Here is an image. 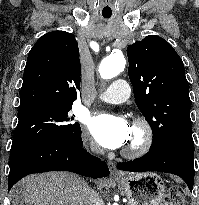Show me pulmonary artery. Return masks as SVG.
Instances as JSON below:
<instances>
[{"label":"pulmonary artery","instance_id":"1","mask_svg":"<svg viewBox=\"0 0 199 205\" xmlns=\"http://www.w3.org/2000/svg\"><path fill=\"white\" fill-rule=\"evenodd\" d=\"M131 86L124 79L115 80L102 98L107 103L118 104L130 97Z\"/></svg>","mask_w":199,"mask_h":205}]
</instances>
